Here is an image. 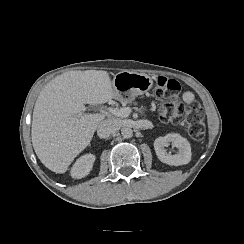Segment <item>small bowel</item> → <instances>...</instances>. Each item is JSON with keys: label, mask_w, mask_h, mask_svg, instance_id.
I'll return each instance as SVG.
<instances>
[{"label": "small bowel", "mask_w": 244, "mask_h": 244, "mask_svg": "<svg viewBox=\"0 0 244 244\" xmlns=\"http://www.w3.org/2000/svg\"><path fill=\"white\" fill-rule=\"evenodd\" d=\"M182 100L185 102V103H190L192 102L193 100H195V95L190 92V91H184L182 93Z\"/></svg>", "instance_id": "c3829d8e"}]
</instances>
